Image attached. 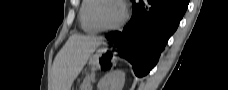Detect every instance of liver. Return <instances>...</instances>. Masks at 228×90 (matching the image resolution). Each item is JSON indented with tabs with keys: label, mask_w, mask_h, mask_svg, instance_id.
Instances as JSON below:
<instances>
[{
	"label": "liver",
	"mask_w": 228,
	"mask_h": 90,
	"mask_svg": "<svg viewBox=\"0 0 228 90\" xmlns=\"http://www.w3.org/2000/svg\"><path fill=\"white\" fill-rule=\"evenodd\" d=\"M102 41L101 37L96 36H70L53 62V90H70L74 80Z\"/></svg>",
	"instance_id": "liver-1"
}]
</instances>
